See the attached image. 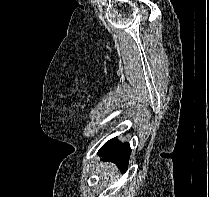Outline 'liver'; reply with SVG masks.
Returning <instances> with one entry per match:
<instances>
[{"mask_svg":"<svg viewBox=\"0 0 209 197\" xmlns=\"http://www.w3.org/2000/svg\"><path fill=\"white\" fill-rule=\"evenodd\" d=\"M114 170H115V167L113 165H109V164L102 165L101 174L104 177H115Z\"/></svg>","mask_w":209,"mask_h":197,"instance_id":"obj_1","label":"liver"}]
</instances>
